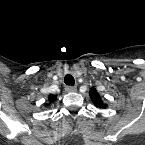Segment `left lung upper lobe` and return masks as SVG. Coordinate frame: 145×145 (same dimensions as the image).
<instances>
[{"label": "left lung upper lobe", "instance_id": "left-lung-upper-lobe-1", "mask_svg": "<svg viewBox=\"0 0 145 145\" xmlns=\"http://www.w3.org/2000/svg\"><path fill=\"white\" fill-rule=\"evenodd\" d=\"M89 94L96 107L106 108V104L103 103V101H102L99 93L96 91V89L92 88L90 90Z\"/></svg>", "mask_w": 145, "mask_h": 145}]
</instances>
